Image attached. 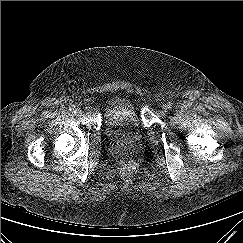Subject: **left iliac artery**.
<instances>
[{"label":"left iliac artery","instance_id":"1","mask_svg":"<svg viewBox=\"0 0 243 243\" xmlns=\"http://www.w3.org/2000/svg\"><path fill=\"white\" fill-rule=\"evenodd\" d=\"M167 107H168L169 109L172 108V103L169 102V103L167 104Z\"/></svg>","mask_w":243,"mask_h":243}]
</instances>
